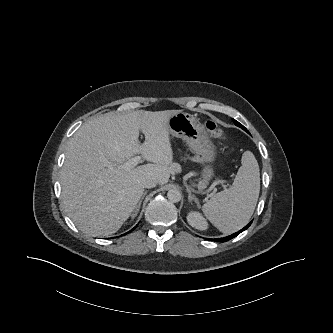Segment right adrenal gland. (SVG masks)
Here are the masks:
<instances>
[{
  "label": "right adrenal gland",
  "instance_id": "2a0ac1e0",
  "mask_svg": "<svg viewBox=\"0 0 333 333\" xmlns=\"http://www.w3.org/2000/svg\"><path fill=\"white\" fill-rule=\"evenodd\" d=\"M146 194H147V191H145V192L143 193L141 199L139 200V202H138V204H137V206H136V208H135V210H134V213L132 214V217H133V218H134V217L137 215V213L139 212V209H140L141 203H142L144 197L146 196Z\"/></svg>",
  "mask_w": 333,
  "mask_h": 333
}]
</instances>
